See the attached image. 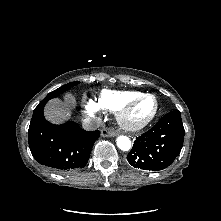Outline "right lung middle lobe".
I'll list each match as a JSON object with an SVG mask.
<instances>
[{"instance_id":"1","label":"right lung middle lobe","mask_w":221,"mask_h":221,"mask_svg":"<svg viewBox=\"0 0 221 221\" xmlns=\"http://www.w3.org/2000/svg\"><path fill=\"white\" fill-rule=\"evenodd\" d=\"M79 83H80L79 81L70 82V83H68V84H66V85H64V86H62V87H60V88L50 92L44 99L50 100L52 98H55V97L59 96V94L69 90L71 87H73V86H75V85H77Z\"/></svg>"}]
</instances>
